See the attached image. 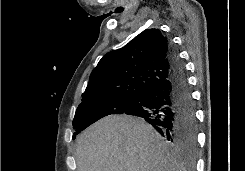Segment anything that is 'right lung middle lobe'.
Segmentation results:
<instances>
[{
    "label": "right lung middle lobe",
    "mask_w": 245,
    "mask_h": 171,
    "mask_svg": "<svg viewBox=\"0 0 245 171\" xmlns=\"http://www.w3.org/2000/svg\"><path fill=\"white\" fill-rule=\"evenodd\" d=\"M140 96L120 95L97 100H84L78 106L73 126L76 135L97 120L111 114H123L128 107L138 102Z\"/></svg>",
    "instance_id": "right-lung-middle-lobe-1"
}]
</instances>
